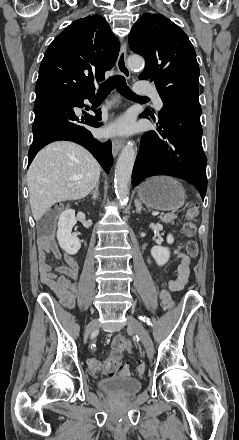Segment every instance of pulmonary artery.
I'll list each match as a JSON object with an SVG mask.
<instances>
[{"label": "pulmonary artery", "instance_id": "obj_1", "mask_svg": "<svg viewBox=\"0 0 239 440\" xmlns=\"http://www.w3.org/2000/svg\"><path fill=\"white\" fill-rule=\"evenodd\" d=\"M134 89H135V91L138 92V93H145V92H146L142 87H140L139 84H136V85L134 86ZM154 99H155V103H156V107H157V109H158V110H161V108H162V106H163V102H162L160 96H159L157 93L154 94Z\"/></svg>", "mask_w": 239, "mask_h": 440}]
</instances>
